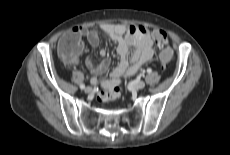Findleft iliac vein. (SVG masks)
Masks as SVG:
<instances>
[{"label": "left iliac vein", "instance_id": "left-iliac-vein-1", "mask_svg": "<svg viewBox=\"0 0 230 155\" xmlns=\"http://www.w3.org/2000/svg\"><path fill=\"white\" fill-rule=\"evenodd\" d=\"M145 87V82L141 80H135L129 83V88L132 89H143Z\"/></svg>", "mask_w": 230, "mask_h": 155}]
</instances>
